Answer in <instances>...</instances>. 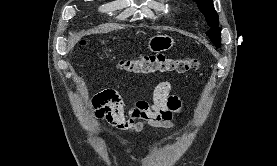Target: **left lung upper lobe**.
Segmentation results:
<instances>
[{"instance_id": "left-lung-upper-lobe-1", "label": "left lung upper lobe", "mask_w": 277, "mask_h": 166, "mask_svg": "<svg viewBox=\"0 0 277 166\" xmlns=\"http://www.w3.org/2000/svg\"><path fill=\"white\" fill-rule=\"evenodd\" d=\"M194 1L197 3L199 10L206 17V21L208 22V25L211 26V29L206 32L207 36L212 40V42L217 47H220L221 29L217 26L218 16L214 9L212 0H194Z\"/></svg>"}]
</instances>
